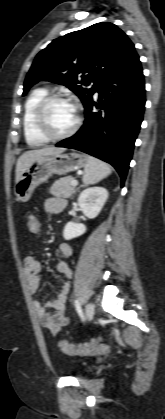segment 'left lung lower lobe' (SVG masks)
Instances as JSON below:
<instances>
[{
  "instance_id": "0a47b994",
  "label": "left lung lower lobe",
  "mask_w": 165,
  "mask_h": 419,
  "mask_svg": "<svg viewBox=\"0 0 165 419\" xmlns=\"http://www.w3.org/2000/svg\"><path fill=\"white\" fill-rule=\"evenodd\" d=\"M97 92L100 103L92 100L84 107L82 127L56 146L77 149L110 163L123 187L146 101L144 76L135 50L101 81Z\"/></svg>"
}]
</instances>
